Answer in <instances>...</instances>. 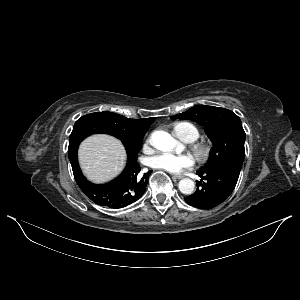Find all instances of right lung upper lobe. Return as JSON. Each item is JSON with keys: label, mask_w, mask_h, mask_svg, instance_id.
Here are the masks:
<instances>
[{"label": "right lung upper lobe", "mask_w": 300, "mask_h": 300, "mask_svg": "<svg viewBox=\"0 0 300 300\" xmlns=\"http://www.w3.org/2000/svg\"><path fill=\"white\" fill-rule=\"evenodd\" d=\"M101 113L106 120L113 123L115 131L125 139L144 136L152 122L155 120V117L135 120L128 119L113 112Z\"/></svg>", "instance_id": "obj_1"}]
</instances>
